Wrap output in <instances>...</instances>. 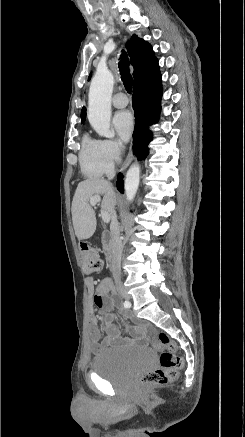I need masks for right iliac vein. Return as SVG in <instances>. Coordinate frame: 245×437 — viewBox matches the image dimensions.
I'll list each match as a JSON object with an SVG mask.
<instances>
[{
  "instance_id": "obj_1",
  "label": "right iliac vein",
  "mask_w": 245,
  "mask_h": 437,
  "mask_svg": "<svg viewBox=\"0 0 245 437\" xmlns=\"http://www.w3.org/2000/svg\"><path fill=\"white\" fill-rule=\"evenodd\" d=\"M119 292L121 296L124 297L125 299H130V295L125 289H121Z\"/></svg>"
}]
</instances>
